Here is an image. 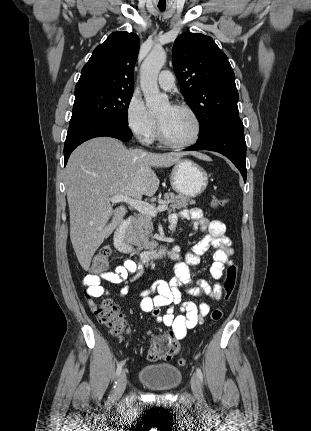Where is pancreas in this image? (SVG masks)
Here are the masks:
<instances>
[{
  "instance_id": "cf45deb5",
  "label": "pancreas",
  "mask_w": 311,
  "mask_h": 431,
  "mask_svg": "<svg viewBox=\"0 0 311 431\" xmlns=\"http://www.w3.org/2000/svg\"><path fill=\"white\" fill-rule=\"evenodd\" d=\"M164 200L170 202V210L168 212H176V210H182L187 206H193L196 204L195 200L187 198V196H176V194H164ZM152 217L147 214H137L133 217L129 227L126 231V241L131 245H137V249H148L152 251L154 247H157L158 241H156L153 235V221Z\"/></svg>"
}]
</instances>
